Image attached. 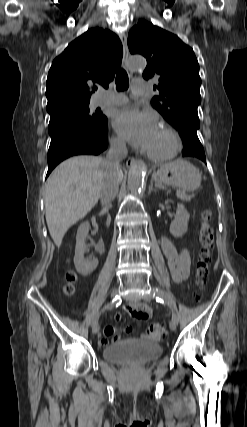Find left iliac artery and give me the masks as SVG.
<instances>
[{
  "instance_id": "obj_1",
  "label": "left iliac artery",
  "mask_w": 247,
  "mask_h": 427,
  "mask_svg": "<svg viewBox=\"0 0 247 427\" xmlns=\"http://www.w3.org/2000/svg\"><path fill=\"white\" fill-rule=\"evenodd\" d=\"M153 297L156 299V301H158L160 303H163V304L165 303V304L169 305V302H167V301L164 300V295H163V293H162V291L160 289L155 288L153 290ZM172 319L178 321V317H177V315H176V313H175V311L173 309H172Z\"/></svg>"
}]
</instances>
